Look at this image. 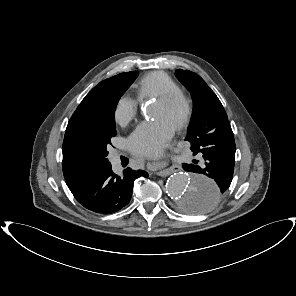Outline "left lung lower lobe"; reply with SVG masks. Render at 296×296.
I'll use <instances>...</instances> for the list:
<instances>
[{
    "instance_id": "1",
    "label": "left lung lower lobe",
    "mask_w": 296,
    "mask_h": 296,
    "mask_svg": "<svg viewBox=\"0 0 296 296\" xmlns=\"http://www.w3.org/2000/svg\"><path fill=\"white\" fill-rule=\"evenodd\" d=\"M235 141L230 123L217 127L206 135V147L202 149L204 165L183 164V169L194 173V176H204L217 183V191L202 199H194L192 212H201L214 205L229 188L234 171Z\"/></svg>"
}]
</instances>
